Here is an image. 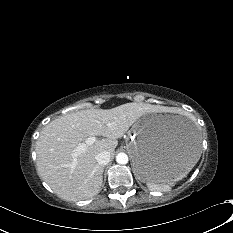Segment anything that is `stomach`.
<instances>
[{"instance_id": "obj_1", "label": "stomach", "mask_w": 233, "mask_h": 233, "mask_svg": "<svg viewBox=\"0 0 233 233\" xmlns=\"http://www.w3.org/2000/svg\"><path fill=\"white\" fill-rule=\"evenodd\" d=\"M134 173L144 182H167L187 174L198 161L200 141L182 115H145L128 133Z\"/></svg>"}]
</instances>
